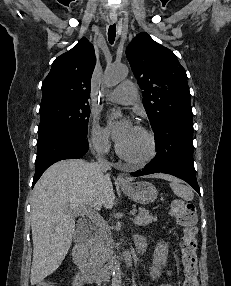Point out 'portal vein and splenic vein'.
Returning <instances> with one entry per match:
<instances>
[{
	"instance_id": "portal-vein-and-splenic-vein-1",
	"label": "portal vein and splenic vein",
	"mask_w": 231,
	"mask_h": 286,
	"mask_svg": "<svg viewBox=\"0 0 231 286\" xmlns=\"http://www.w3.org/2000/svg\"><path fill=\"white\" fill-rule=\"evenodd\" d=\"M137 212L136 209L130 211V215H135ZM75 215H87L98 227L102 228L107 225L106 221L98 214L95 213L90 208H77L73 209Z\"/></svg>"
}]
</instances>
